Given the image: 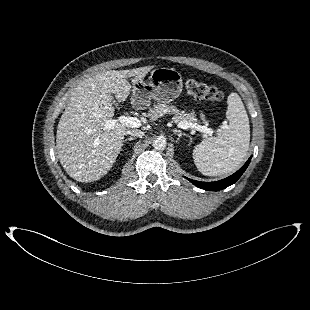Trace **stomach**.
<instances>
[{
	"label": "stomach",
	"mask_w": 310,
	"mask_h": 310,
	"mask_svg": "<svg viewBox=\"0 0 310 310\" xmlns=\"http://www.w3.org/2000/svg\"><path fill=\"white\" fill-rule=\"evenodd\" d=\"M182 76L174 68H156L151 72L149 82L138 79L132 82L133 104L142 109L146 108L151 99L169 103L182 92Z\"/></svg>",
	"instance_id": "obj_1"
}]
</instances>
